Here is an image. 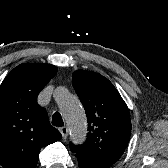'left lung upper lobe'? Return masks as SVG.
<instances>
[{
    "label": "left lung upper lobe",
    "mask_w": 168,
    "mask_h": 168,
    "mask_svg": "<svg viewBox=\"0 0 168 168\" xmlns=\"http://www.w3.org/2000/svg\"><path fill=\"white\" fill-rule=\"evenodd\" d=\"M72 85L88 120V135L82 145L70 143L71 151H81L109 165L126 149L130 134V113L113 84L104 76L86 70L72 75Z\"/></svg>",
    "instance_id": "5c2ea615"
}]
</instances>
